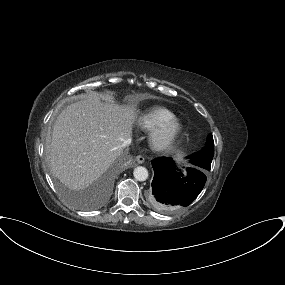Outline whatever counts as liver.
I'll return each instance as SVG.
<instances>
[{"label": "liver", "mask_w": 285, "mask_h": 285, "mask_svg": "<svg viewBox=\"0 0 285 285\" xmlns=\"http://www.w3.org/2000/svg\"><path fill=\"white\" fill-rule=\"evenodd\" d=\"M137 110L109 97H89L67 106L53 126L48 158L52 173L72 189L96 181L122 152Z\"/></svg>", "instance_id": "liver-1"}]
</instances>
